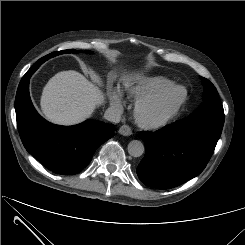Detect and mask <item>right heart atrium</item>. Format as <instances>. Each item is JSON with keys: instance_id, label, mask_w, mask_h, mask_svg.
<instances>
[{"instance_id": "d8ad5b80", "label": "right heart atrium", "mask_w": 245, "mask_h": 245, "mask_svg": "<svg viewBox=\"0 0 245 245\" xmlns=\"http://www.w3.org/2000/svg\"><path fill=\"white\" fill-rule=\"evenodd\" d=\"M107 95L111 106L117 110L121 111L123 109L122 94L118 87L110 86L107 89Z\"/></svg>"}]
</instances>
